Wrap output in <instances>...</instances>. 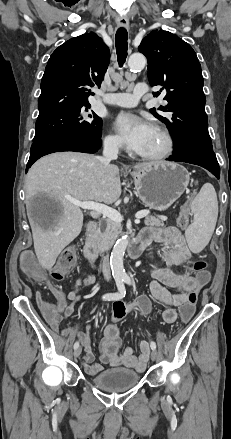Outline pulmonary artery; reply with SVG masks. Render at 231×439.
<instances>
[{"instance_id":"1","label":"pulmonary artery","mask_w":231,"mask_h":439,"mask_svg":"<svg viewBox=\"0 0 231 439\" xmlns=\"http://www.w3.org/2000/svg\"><path fill=\"white\" fill-rule=\"evenodd\" d=\"M147 93V85L137 84L132 93H112L105 95L103 101L105 103L120 106V107H134L138 104L139 99Z\"/></svg>"}]
</instances>
